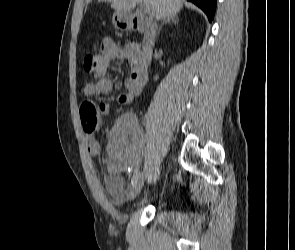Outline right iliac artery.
Here are the masks:
<instances>
[{"mask_svg":"<svg viewBox=\"0 0 295 250\" xmlns=\"http://www.w3.org/2000/svg\"><path fill=\"white\" fill-rule=\"evenodd\" d=\"M140 178V173L136 171V173L133 175L131 179V185L133 186Z\"/></svg>","mask_w":295,"mask_h":250,"instance_id":"1","label":"right iliac artery"}]
</instances>
